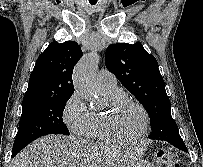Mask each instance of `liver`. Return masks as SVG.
Returning a JSON list of instances; mask_svg holds the SVG:
<instances>
[{
    "instance_id": "6515ba94",
    "label": "liver",
    "mask_w": 203,
    "mask_h": 167,
    "mask_svg": "<svg viewBox=\"0 0 203 167\" xmlns=\"http://www.w3.org/2000/svg\"><path fill=\"white\" fill-rule=\"evenodd\" d=\"M139 157L108 144L48 135L18 153L9 167H131Z\"/></svg>"
}]
</instances>
